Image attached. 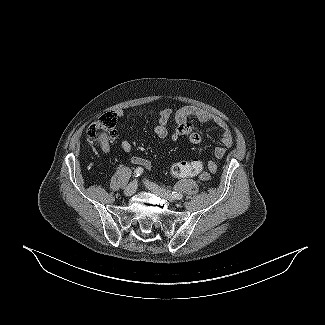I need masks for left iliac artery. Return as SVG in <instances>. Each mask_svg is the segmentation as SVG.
<instances>
[{
    "instance_id": "44dca946",
    "label": "left iliac artery",
    "mask_w": 325,
    "mask_h": 325,
    "mask_svg": "<svg viewBox=\"0 0 325 325\" xmlns=\"http://www.w3.org/2000/svg\"><path fill=\"white\" fill-rule=\"evenodd\" d=\"M172 195L176 198V199H181L183 197V195L180 192H172Z\"/></svg>"
}]
</instances>
